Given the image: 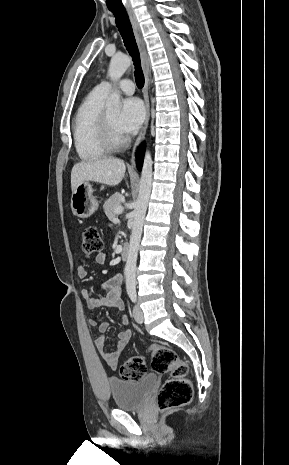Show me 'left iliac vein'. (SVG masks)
I'll return each instance as SVG.
<instances>
[{
  "instance_id": "obj_1",
  "label": "left iliac vein",
  "mask_w": 289,
  "mask_h": 465,
  "mask_svg": "<svg viewBox=\"0 0 289 465\" xmlns=\"http://www.w3.org/2000/svg\"><path fill=\"white\" fill-rule=\"evenodd\" d=\"M133 317L139 324H142L144 321L143 311L138 305H135L133 308Z\"/></svg>"
}]
</instances>
